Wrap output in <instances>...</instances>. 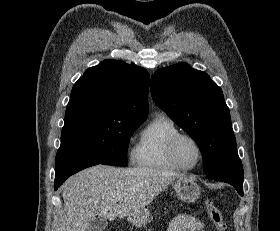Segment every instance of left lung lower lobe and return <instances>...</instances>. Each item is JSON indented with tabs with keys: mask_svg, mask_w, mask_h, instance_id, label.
Segmentation results:
<instances>
[{
	"mask_svg": "<svg viewBox=\"0 0 280 231\" xmlns=\"http://www.w3.org/2000/svg\"><path fill=\"white\" fill-rule=\"evenodd\" d=\"M243 166L239 158L223 165L215 171L206 175L208 179L226 182L235 187L237 192L243 196Z\"/></svg>",
	"mask_w": 280,
	"mask_h": 231,
	"instance_id": "0a47b994",
	"label": "left lung lower lobe"
}]
</instances>
